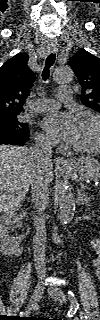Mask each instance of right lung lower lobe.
<instances>
[{"label": "right lung lower lobe", "instance_id": "right-lung-lower-lobe-1", "mask_svg": "<svg viewBox=\"0 0 100 320\" xmlns=\"http://www.w3.org/2000/svg\"><path fill=\"white\" fill-rule=\"evenodd\" d=\"M28 137H7L5 139H0V144H14V145H25Z\"/></svg>", "mask_w": 100, "mask_h": 320}]
</instances>
